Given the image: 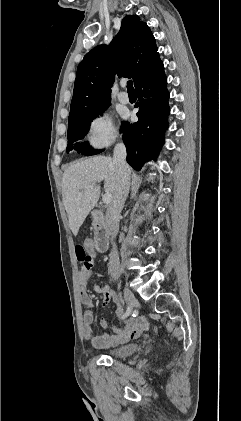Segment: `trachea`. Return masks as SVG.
Returning <instances> with one entry per match:
<instances>
[{"instance_id": "trachea-1", "label": "trachea", "mask_w": 241, "mask_h": 421, "mask_svg": "<svg viewBox=\"0 0 241 421\" xmlns=\"http://www.w3.org/2000/svg\"><path fill=\"white\" fill-rule=\"evenodd\" d=\"M127 90H128V92H134L135 90H134V87H133V82H132V80H129L128 82H127Z\"/></svg>"}]
</instances>
